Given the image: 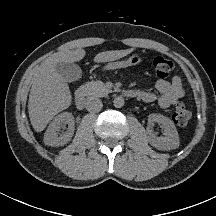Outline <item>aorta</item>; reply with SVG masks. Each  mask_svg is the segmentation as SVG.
I'll return each instance as SVG.
<instances>
[{
    "label": "aorta",
    "instance_id": "762f6f07",
    "mask_svg": "<svg viewBox=\"0 0 216 216\" xmlns=\"http://www.w3.org/2000/svg\"><path fill=\"white\" fill-rule=\"evenodd\" d=\"M113 105L116 108H121L124 106V99L122 97H116L113 100Z\"/></svg>",
    "mask_w": 216,
    "mask_h": 216
}]
</instances>
